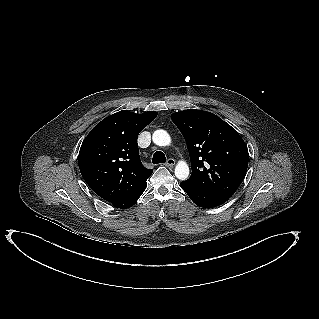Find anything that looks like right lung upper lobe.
Instances as JSON below:
<instances>
[{"instance_id": "obj_1", "label": "right lung upper lobe", "mask_w": 319, "mask_h": 319, "mask_svg": "<svg viewBox=\"0 0 319 319\" xmlns=\"http://www.w3.org/2000/svg\"><path fill=\"white\" fill-rule=\"evenodd\" d=\"M156 112L119 111L97 124L79 151V169L92 190L115 205L145 186L153 170L140 161L137 136Z\"/></svg>"}]
</instances>
